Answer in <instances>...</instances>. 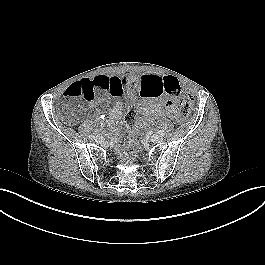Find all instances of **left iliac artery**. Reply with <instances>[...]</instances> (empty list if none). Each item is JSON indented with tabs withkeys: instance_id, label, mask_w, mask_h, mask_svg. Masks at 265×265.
Wrapping results in <instances>:
<instances>
[{
	"instance_id": "1",
	"label": "left iliac artery",
	"mask_w": 265,
	"mask_h": 265,
	"mask_svg": "<svg viewBox=\"0 0 265 265\" xmlns=\"http://www.w3.org/2000/svg\"><path fill=\"white\" fill-rule=\"evenodd\" d=\"M158 133H159L161 136H164V135H165L164 130H159Z\"/></svg>"
}]
</instances>
